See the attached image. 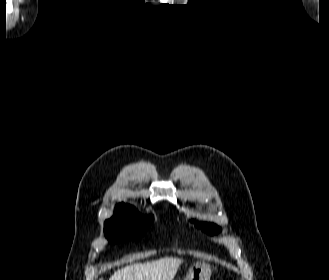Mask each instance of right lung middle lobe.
I'll list each match as a JSON object with an SVG mask.
<instances>
[{
	"label": "right lung middle lobe",
	"mask_w": 329,
	"mask_h": 280,
	"mask_svg": "<svg viewBox=\"0 0 329 280\" xmlns=\"http://www.w3.org/2000/svg\"><path fill=\"white\" fill-rule=\"evenodd\" d=\"M152 217L124 207H117L114 216L105 221L104 233L111 243L141 238L151 225Z\"/></svg>",
	"instance_id": "1"
}]
</instances>
